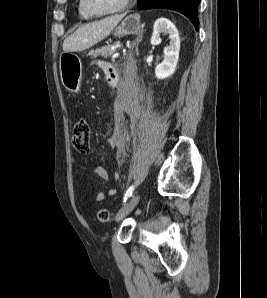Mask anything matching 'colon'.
I'll list each match as a JSON object with an SVG mask.
<instances>
[{
  "mask_svg": "<svg viewBox=\"0 0 267 298\" xmlns=\"http://www.w3.org/2000/svg\"><path fill=\"white\" fill-rule=\"evenodd\" d=\"M91 128L87 120H80L74 126L72 133V144L81 154H86L90 150ZM98 220L108 222L112 219V213L107 209H101L98 212Z\"/></svg>",
  "mask_w": 267,
  "mask_h": 298,
  "instance_id": "5ec220e1",
  "label": "colon"
}]
</instances>
